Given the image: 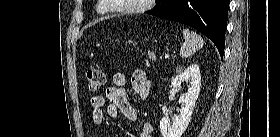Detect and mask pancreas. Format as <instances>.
<instances>
[{
	"label": "pancreas",
	"mask_w": 280,
	"mask_h": 137,
	"mask_svg": "<svg viewBox=\"0 0 280 137\" xmlns=\"http://www.w3.org/2000/svg\"><path fill=\"white\" fill-rule=\"evenodd\" d=\"M149 59L155 60L154 53H148Z\"/></svg>",
	"instance_id": "1"
}]
</instances>
